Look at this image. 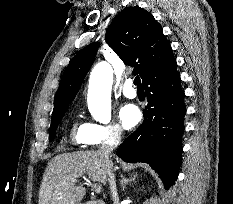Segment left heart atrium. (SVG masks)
<instances>
[{
    "mask_svg": "<svg viewBox=\"0 0 233 204\" xmlns=\"http://www.w3.org/2000/svg\"><path fill=\"white\" fill-rule=\"evenodd\" d=\"M119 119L125 129H131L139 123L141 112L134 104H126L119 110Z\"/></svg>",
    "mask_w": 233,
    "mask_h": 204,
    "instance_id": "obj_1",
    "label": "left heart atrium"
}]
</instances>
